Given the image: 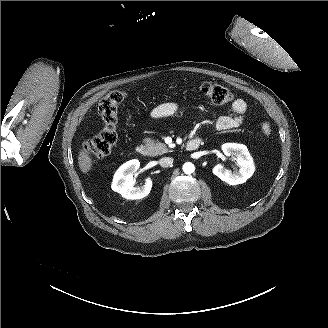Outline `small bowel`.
<instances>
[{
  "label": "small bowel",
  "mask_w": 328,
  "mask_h": 328,
  "mask_svg": "<svg viewBox=\"0 0 328 328\" xmlns=\"http://www.w3.org/2000/svg\"><path fill=\"white\" fill-rule=\"evenodd\" d=\"M179 111V105L176 103H163L155 107L151 113L150 118L157 120L171 116ZM233 114L230 116H221L214 122L217 130L225 131L239 128L245 119L247 112V104L243 99H236L232 103Z\"/></svg>",
  "instance_id": "obj_1"
}]
</instances>
